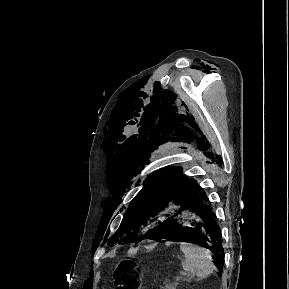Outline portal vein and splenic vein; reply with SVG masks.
Returning <instances> with one entry per match:
<instances>
[{
	"label": "portal vein and splenic vein",
	"instance_id": "obj_1",
	"mask_svg": "<svg viewBox=\"0 0 289 289\" xmlns=\"http://www.w3.org/2000/svg\"><path fill=\"white\" fill-rule=\"evenodd\" d=\"M182 279H183L182 277L178 276V277L175 278V282H176V283H177V282H180Z\"/></svg>",
	"mask_w": 289,
	"mask_h": 289
}]
</instances>
